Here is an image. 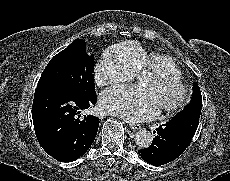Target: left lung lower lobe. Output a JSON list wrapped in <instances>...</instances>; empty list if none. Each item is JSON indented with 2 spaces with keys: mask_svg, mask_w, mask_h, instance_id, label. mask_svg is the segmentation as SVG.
<instances>
[{
  "mask_svg": "<svg viewBox=\"0 0 230 181\" xmlns=\"http://www.w3.org/2000/svg\"><path fill=\"white\" fill-rule=\"evenodd\" d=\"M199 123V117L193 114L175 116L165 125L154 130L151 146L138 150L141 158L147 163L160 166L179 157L189 146Z\"/></svg>",
  "mask_w": 230,
  "mask_h": 181,
  "instance_id": "left-lung-lower-lobe-1",
  "label": "left lung lower lobe"
}]
</instances>
